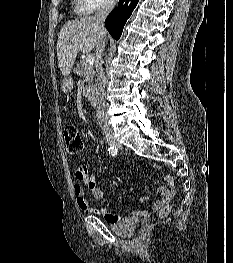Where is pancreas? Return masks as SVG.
I'll use <instances>...</instances> for the list:
<instances>
[{"mask_svg": "<svg viewBox=\"0 0 233 263\" xmlns=\"http://www.w3.org/2000/svg\"><path fill=\"white\" fill-rule=\"evenodd\" d=\"M77 70L79 74L84 78V82L86 83L83 89V95L90 99L94 90V74L95 70L92 65H86L84 60H81L77 65Z\"/></svg>", "mask_w": 233, "mask_h": 263, "instance_id": "obj_1", "label": "pancreas"}]
</instances>
